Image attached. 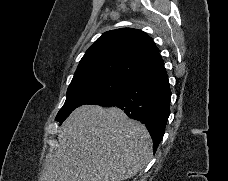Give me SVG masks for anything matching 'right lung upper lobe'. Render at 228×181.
Listing matches in <instances>:
<instances>
[{"label":"right lung upper lobe","mask_w":228,"mask_h":181,"mask_svg":"<svg viewBox=\"0 0 228 181\" xmlns=\"http://www.w3.org/2000/svg\"><path fill=\"white\" fill-rule=\"evenodd\" d=\"M163 63L151 37L132 28L105 32L86 51L72 80L93 75L134 78Z\"/></svg>","instance_id":"cb5924a9"}]
</instances>
